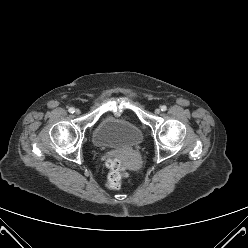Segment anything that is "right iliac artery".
<instances>
[{"mask_svg":"<svg viewBox=\"0 0 248 248\" xmlns=\"http://www.w3.org/2000/svg\"><path fill=\"white\" fill-rule=\"evenodd\" d=\"M68 111H69L70 113H74V112H75V109H74L73 107H70V108L68 109Z\"/></svg>","mask_w":248,"mask_h":248,"instance_id":"obj_1","label":"right iliac artery"}]
</instances>
